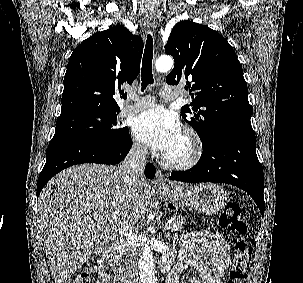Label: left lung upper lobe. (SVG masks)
<instances>
[{"mask_svg":"<svg viewBox=\"0 0 303 283\" xmlns=\"http://www.w3.org/2000/svg\"><path fill=\"white\" fill-rule=\"evenodd\" d=\"M166 54L173 56L169 85L186 83L192 103L181 108L184 119L206 146L230 128L252 129L251 105L243 70L228 41L208 26L180 21L169 36Z\"/></svg>","mask_w":303,"mask_h":283,"instance_id":"left-lung-upper-lobe-1","label":"left lung upper lobe"}]
</instances>
